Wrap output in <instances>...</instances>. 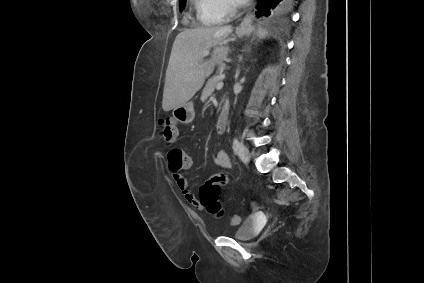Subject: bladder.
I'll return each instance as SVG.
<instances>
[{"instance_id":"1","label":"bladder","mask_w":424,"mask_h":283,"mask_svg":"<svg viewBox=\"0 0 424 283\" xmlns=\"http://www.w3.org/2000/svg\"><path fill=\"white\" fill-rule=\"evenodd\" d=\"M261 229V222L255 216L244 220L240 227L234 232L233 238L238 241H247L254 238Z\"/></svg>"}]
</instances>
